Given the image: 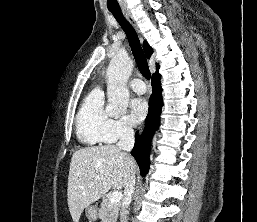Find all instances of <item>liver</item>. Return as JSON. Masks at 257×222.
<instances>
[{"instance_id":"1","label":"liver","mask_w":257,"mask_h":222,"mask_svg":"<svg viewBox=\"0 0 257 222\" xmlns=\"http://www.w3.org/2000/svg\"><path fill=\"white\" fill-rule=\"evenodd\" d=\"M135 160L115 145L87 147L73 153L70 163L67 202L74 222H79L84 208L111 188L120 190L132 174Z\"/></svg>"}]
</instances>
